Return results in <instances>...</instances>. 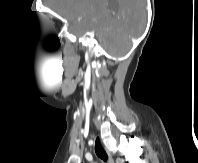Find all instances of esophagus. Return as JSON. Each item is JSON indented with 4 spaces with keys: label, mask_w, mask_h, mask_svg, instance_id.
Listing matches in <instances>:
<instances>
[{
    "label": "esophagus",
    "mask_w": 198,
    "mask_h": 163,
    "mask_svg": "<svg viewBox=\"0 0 198 163\" xmlns=\"http://www.w3.org/2000/svg\"><path fill=\"white\" fill-rule=\"evenodd\" d=\"M105 151H106V154H107L106 163H114L113 158H112V155H111V153L109 152V150L105 148Z\"/></svg>",
    "instance_id": "esophagus-1"
}]
</instances>
